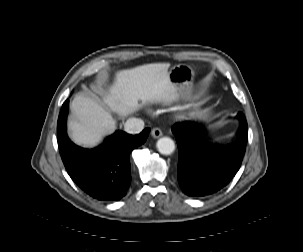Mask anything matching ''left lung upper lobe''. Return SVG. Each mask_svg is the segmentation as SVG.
Listing matches in <instances>:
<instances>
[{
    "label": "left lung upper lobe",
    "instance_id": "obj_1",
    "mask_svg": "<svg viewBox=\"0 0 303 252\" xmlns=\"http://www.w3.org/2000/svg\"><path fill=\"white\" fill-rule=\"evenodd\" d=\"M238 116H244V114H243V113H241V112H239V113H238Z\"/></svg>",
    "mask_w": 303,
    "mask_h": 252
}]
</instances>
